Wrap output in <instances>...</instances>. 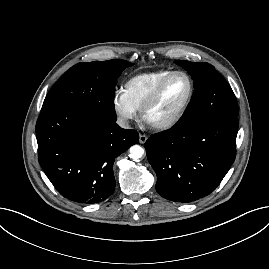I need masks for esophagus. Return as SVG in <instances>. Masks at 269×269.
Returning a JSON list of instances; mask_svg holds the SVG:
<instances>
[{
  "instance_id": "obj_1",
  "label": "esophagus",
  "mask_w": 269,
  "mask_h": 269,
  "mask_svg": "<svg viewBox=\"0 0 269 269\" xmlns=\"http://www.w3.org/2000/svg\"><path fill=\"white\" fill-rule=\"evenodd\" d=\"M147 139H148L147 135H145V134H140L139 135V142L141 144H144L147 141Z\"/></svg>"
}]
</instances>
